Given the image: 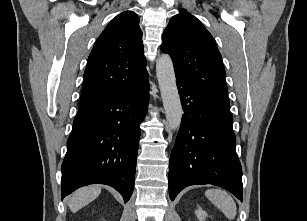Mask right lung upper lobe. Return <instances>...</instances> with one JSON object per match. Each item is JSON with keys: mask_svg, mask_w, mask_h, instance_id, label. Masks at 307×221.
<instances>
[{"mask_svg": "<svg viewBox=\"0 0 307 221\" xmlns=\"http://www.w3.org/2000/svg\"><path fill=\"white\" fill-rule=\"evenodd\" d=\"M148 78L139 18L117 15L96 40L84 72L79 109L129 91Z\"/></svg>", "mask_w": 307, "mask_h": 221, "instance_id": "cb5924a9", "label": "right lung upper lobe"}]
</instances>
